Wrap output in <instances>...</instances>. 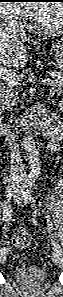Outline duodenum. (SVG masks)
Segmentation results:
<instances>
[{
  "mask_svg": "<svg viewBox=\"0 0 63 297\" xmlns=\"http://www.w3.org/2000/svg\"><path fill=\"white\" fill-rule=\"evenodd\" d=\"M5 103H6V102H5ZM3 128H5V129H3L5 133H9V132H7V131H9V129H7V128H8L7 123H4V124H3Z\"/></svg>",
  "mask_w": 63,
  "mask_h": 297,
  "instance_id": "obj_1",
  "label": "duodenum"
}]
</instances>
